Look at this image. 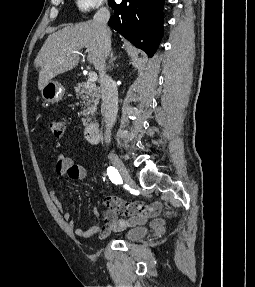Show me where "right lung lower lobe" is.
<instances>
[{"label":"right lung lower lobe","instance_id":"right-lung-lower-lobe-1","mask_svg":"<svg viewBox=\"0 0 255 287\" xmlns=\"http://www.w3.org/2000/svg\"><path fill=\"white\" fill-rule=\"evenodd\" d=\"M164 0H122L108 25L152 57L163 35Z\"/></svg>","mask_w":255,"mask_h":287}]
</instances>
